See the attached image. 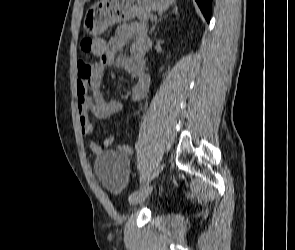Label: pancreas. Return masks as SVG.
I'll return each instance as SVG.
<instances>
[{"label": "pancreas", "mask_w": 295, "mask_h": 250, "mask_svg": "<svg viewBox=\"0 0 295 250\" xmlns=\"http://www.w3.org/2000/svg\"><path fill=\"white\" fill-rule=\"evenodd\" d=\"M152 17H154L152 14L150 13H145V14H141L138 16V19L140 21V23H147L149 19H151Z\"/></svg>", "instance_id": "1"}]
</instances>
